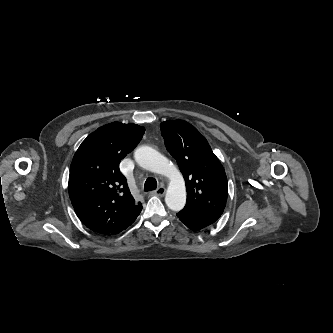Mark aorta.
Returning a JSON list of instances; mask_svg holds the SVG:
<instances>
[{"mask_svg":"<svg viewBox=\"0 0 333 333\" xmlns=\"http://www.w3.org/2000/svg\"><path fill=\"white\" fill-rule=\"evenodd\" d=\"M134 157L141 167L168 177L166 205L171 210H181L186 203V189L180 171L171 165L166 157L149 146L137 148Z\"/></svg>","mask_w":333,"mask_h":333,"instance_id":"aorta-1","label":"aorta"}]
</instances>
